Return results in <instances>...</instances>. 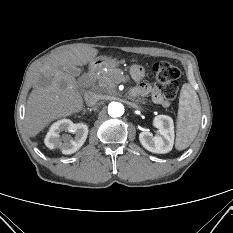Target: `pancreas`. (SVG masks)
I'll use <instances>...</instances> for the list:
<instances>
[{"mask_svg":"<svg viewBox=\"0 0 233 233\" xmlns=\"http://www.w3.org/2000/svg\"><path fill=\"white\" fill-rule=\"evenodd\" d=\"M107 67L108 70L101 71V73L96 76V80L101 90L109 92L115 88L116 84L123 81L125 78L120 69Z\"/></svg>","mask_w":233,"mask_h":233,"instance_id":"obj_1","label":"pancreas"}]
</instances>
